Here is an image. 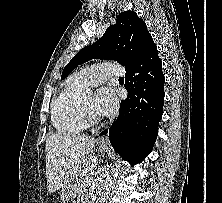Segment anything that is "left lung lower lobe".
I'll return each instance as SVG.
<instances>
[{
    "mask_svg": "<svg viewBox=\"0 0 222 203\" xmlns=\"http://www.w3.org/2000/svg\"><path fill=\"white\" fill-rule=\"evenodd\" d=\"M125 77L128 96L121 101L119 116L109 129V139L114 150L134 165L151 152L163 112L162 61L151 35L136 61L126 69ZM105 134L107 130L100 133Z\"/></svg>",
    "mask_w": 222,
    "mask_h": 203,
    "instance_id": "0a47b994",
    "label": "left lung lower lobe"
}]
</instances>
